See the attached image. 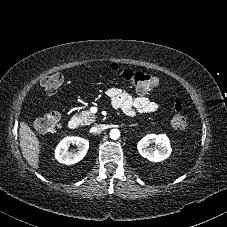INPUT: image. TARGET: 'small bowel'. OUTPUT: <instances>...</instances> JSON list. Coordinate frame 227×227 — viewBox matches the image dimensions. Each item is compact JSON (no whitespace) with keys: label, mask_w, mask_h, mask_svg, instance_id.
<instances>
[{"label":"small bowel","mask_w":227,"mask_h":227,"mask_svg":"<svg viewBox=\"0 0 227 227\" xmlns=\"http://www.w3.org/2000/svg\"><path fill=\"white\" fill-rule=\"evenodd\" d=\"M106 95L115 109L122 110L128 116L153 113L158 109V104L145 94L140 93L139 96L132 97L121 89L111 87L107 89Z\"/></svg>","instance_id":"obj_1"}]
</instances>
